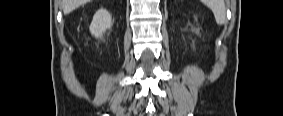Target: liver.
<instances>
[{
  "label": "liver",
  "mask_w": 283,
  "mask_h": 116,
  "mask_svg": "<svg viewBox=\"0 0 283 116\" xmlns=\"http://www.w3.org/2000/svg\"><path fill=\"white\" fill-rule=\"evenodd\" d=\"M90 0H61L62 9L65 15L71 13L73 10L79 6L89 2Z\"/></svg>",
  "instance_id": "1"
}]
</instances>
